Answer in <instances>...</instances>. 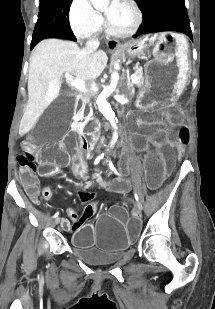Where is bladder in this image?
<instances>
[{"mask_svg": "<svg viewBox=\"0 0 215 309\" xmlns=\"http://www.w3.org/2000/svg\"><path fill=\"white\" fill-rule=\"evenodd\" d=\"M78 256L86 263L91 265H111L118 262L123 254H86L78 253Z\"/></svg>", "mask_w": 215, "mask_h": 309, "instance_id": "bladder-1", "label": "bladder"}]
</instances>
